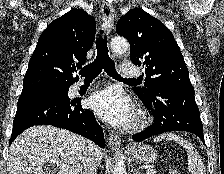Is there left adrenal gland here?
<instances>
[{
  "label": "left adrenal gland",
  "mask_w": 224,
  "mask_h": 174,
  "mask_svg": "<svg viewBox=\"0 0 224 174\" xmlns=\"http://www.w3.org/2000/svg\"><path fill=\"white\" fill-rule=\"evenodd\" d=\"M133 174H141L140 171L138 169H135Z\"/></svg>",
  "instance_id": "obj_1"
}]
</instances>
